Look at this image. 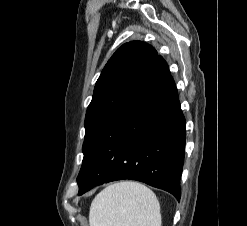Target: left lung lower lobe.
Returning a JSON list of instances; mask_svg holds the SVG:
<instances>
[{"label":"left lung lower lobe","mask_w":247,"mask_h":226,"mask_svg":"<svg viewBox=\"0 0 247 226\" xmlns=\"http://www.w3.org/2000/svg\"><path fill=\"white\" fill-rule=\"evenodd\" d=\"M185 133L175 82L158 56L83 162L78 195L103 183L133 179L179 201Z\"/></svg>","instance_id":"1"}]
</instances>
